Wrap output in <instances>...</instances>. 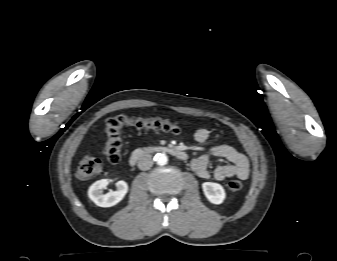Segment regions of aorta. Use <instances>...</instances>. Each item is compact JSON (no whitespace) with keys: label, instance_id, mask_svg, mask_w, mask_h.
Wrapping results in <instances>:
<instances>
[{"label":"aorta","instance_id":"1","mask_svg":"<svg viewBox=\"0 0 337 261\" xmlns=\"http://www.w3.org/2000/svg\"><path fill=\"white\" fill-rule=\"evenodd\" d=\"M155 160H156V163L160 166H163V165H166L167 162H168V157L166 154L164 153H158L156 156H155Z\"/></svg>","mask_w":337,"mask_h":261}]
</instances>
